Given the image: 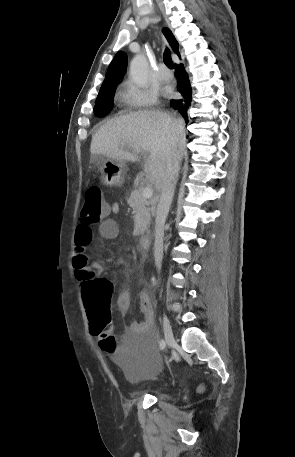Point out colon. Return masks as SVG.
I'll list each match as a JSON object with an SVG mask.
<instances>
[{
	"label": "colon",
	"instance_id": "5ec220e1",
	"mask_svg": "<svg viewBox=\"0 0 295 457\" xmlns=\"http://www.w3.org/2000/svg\"><path fill=\"white\" fill-rule=\"evenodd\" d=\"M108 205L104 200L102 190L98 186H91L85 195V202L80 212V224L90 227L101 224L108 216ZM73 266L80 280H82V300L86 310L91 333L99 339V346L108 359H120L126 355L121 349V343L114 341L110 332L111 319L110 302L112 296L111 285L95 278L85 253H77L73 258ZM202 386L200 383L197 385Z\"/></svg>",
	"mask_w": 295,
	"mask_h": 457
}]
</instances>
